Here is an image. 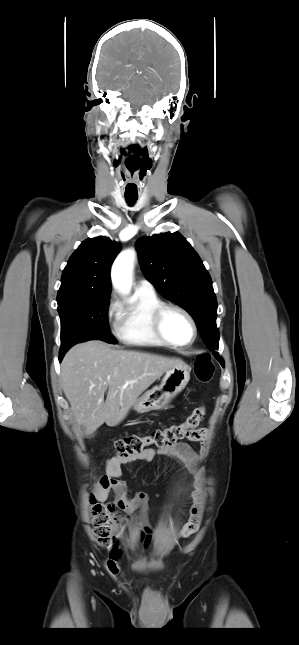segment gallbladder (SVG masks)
<instances>
[{
	"instance_id": "1",
	"label": "gallbladder",
	"mask_w": 299,
	"mask_h": 645,
	"mask_svg": "<svg viewBox=\"0 0 299 645\" xmlns=\"http://www.w3.org/2000/svg\"><path fill=\"white\" fill-rule=\"evenodd\" d=\"M80 430H81L83 436L86 437V438H91V437L94 436V433L87 434L86 433V428L83 425H80Z\"/></svg>"
}]
</instances>
